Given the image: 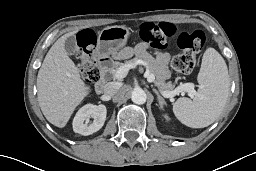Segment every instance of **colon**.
I'll list each match as a JSON object with an SVG mask.
<instances>
[{
  "mask_svg": "<svg viewBox=\"0 0 256 171\" xmlns=\"http://www.w3.org/2000/svg\"><path fill=\"white\" fill-rule=\"evenodd\" d=\"M139 36L151 48L164 49L168 42L176 38L181 53L174 56L171 65L181 74H190L196 64L197 54L205 44V34L201 30L186 31L177 34V28L169 22H143L139 26ZM77 55L80 58L79 69L90 88L100 79V69L93 57L95 34L89 29L82 30L77 37Z\"/></svg>",
  "mask_w": 256,
  "mask_h": 171,
  "instance_id": "5ec220e1",
  "label": "colon"
}]
</instances>
